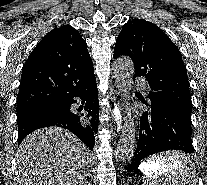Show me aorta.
Returning <instances> with one entry per match:
<instances>
[{
    "mask_svg": "<svg viewBox=\"0 0 207 185\" xmlns=\"http://www.w3.org/2000/svg\"><path fill=\"white\" fill-rule=\"evenodd\" d=\"M113 74L119 93H121L125 101H129L132 97V77L134 74L132 60L127 56L118 58L114 62ZM128 105L129 103L125 106L126 121L124 122L116 150V162L119 167H124L132 159L136 145L135 120Z\"/></svg>",
    "mask_w": 207,
    "mask_h": 185,
    "instance_id": "obj_1",
    "label": "aorta"
}]
</instances>
